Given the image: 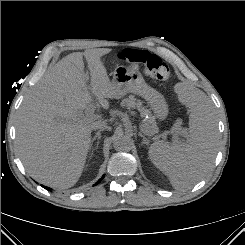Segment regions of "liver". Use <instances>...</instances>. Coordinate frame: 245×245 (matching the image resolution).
Instances as JSON below:
<instances>
[{"mask_svg": "<svg viewBox=\"0 0 245 245\" xmlns=\"http://www.w3.org/2000/svg\"><path fill=\"white\" fill-rule=\"evenodd\" d=\"M109 48L71 53L49 67L24 98L16 120V147L27 173L41 184L67 189L80 178L95 123L85 111L92 101L90 90L104 108L116 91L101 57ZM85 57L91 84L84 73Z\"/></svg>", "mask_w": 245, "mask_h": 245, "instance_id": "6515ba94", "label": "liver"}]
</instances>
